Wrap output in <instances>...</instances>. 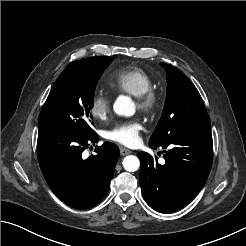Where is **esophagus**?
I'll list each match as a JSON object with an SVG mask.
<instances>
[{
    "label": "esophagus",
    "mask_w": 246,
    "mask_h": 246,
    "mask_svg": "<svg viewBox=\"0 0 246 246\" xmlns=\"http://www.w3.org/2000/svg\"><path fill=\"white\" fill-rule=\"evenodd\" d=\"M130 153H131V151L128 150V149H126V148H120V154H121L122 156L128 155V154H130Z\"/></svg>",
    "instance_id": "34e87169"
}]
</instances>
